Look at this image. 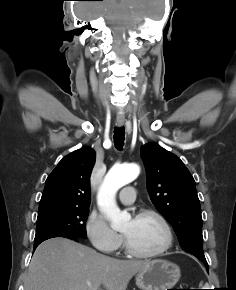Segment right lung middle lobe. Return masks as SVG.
Returning <instances> with one entry per match:
<instances>
[{
  "instance_id": "right-lung-middle-lobe-1",
  "label": "right lung middle lobe",
  "mask_w": 236,
  "mask_h": 290,
  "mask_svg": "<svg viewBox=\"0 0 236 290\" xmlns=\"http://www.w3.org/2000/svg\"><path fill=\"white\" fill-rule=\"evenodd\" d=\"M88 208L52 206L39 209L34 243L53 237L85 238Z\"/></svg>"
}]
</instances>
